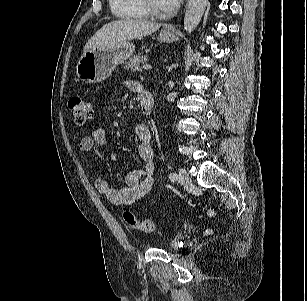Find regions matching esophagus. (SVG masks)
<instances>
[{
  "label": "esophagus",
  "mask_w": 307,
  "mask_h": 301,
  "mask_svg": "<svg viewBox=\"0 0 307 301\" xmlns=\"http://www.w3.org/2000/svg\"><path fill=\"white\" fill-rule=\"evenodd\" d=\"M166 29L169 30V31H174L173 26H168V27H166Z\"/></svg>",
  "instance_id": "obj_1"
}]
</instances>
